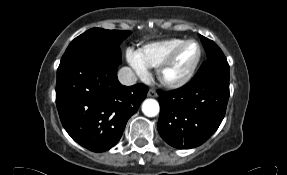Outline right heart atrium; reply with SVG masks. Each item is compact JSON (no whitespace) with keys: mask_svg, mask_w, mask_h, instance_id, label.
<instances>
[{"mask_svg":"<svg viewBox=\"0 0 287 175\" xmlns=\"http://www.w3.org/2000/svg\"><path fill=\"white\" fill-rule=\"evenodd\" d=\"M126 59L132 69L137 73V75H139L141 78L148 77V68H146L140 61L138 51L128 49L126 51Z\"/></svg>","mask_w":287,"mask_h":175,"instance_id":"d8ad5b80","label":"right heart atrium"}]
</instances>
